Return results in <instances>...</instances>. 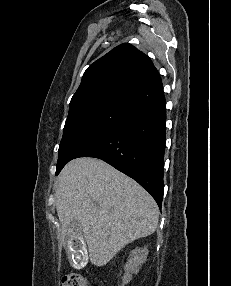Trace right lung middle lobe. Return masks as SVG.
<instances>
[{
	"instance_id": "1",
	"label": "right lung middle lobe",
	"mask_w": 231,
	"mask_h": 286,
	"mask_svg": "<svg viewBox=\"0 0 231 286\" xmlns=\"http://www.w3.org/2000/svg\"><path fill=\"white\" fill-rule=\"evenodd\" d=\"M131 113L129 106L115 101L94 103L70 113L58 151L56 175L84 147Z\"/></svg>"
}]
</instances>
